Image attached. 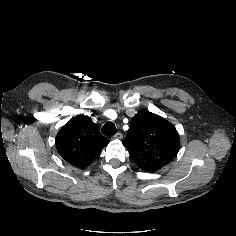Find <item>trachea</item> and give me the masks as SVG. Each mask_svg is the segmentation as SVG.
Returning a JSON list of instances; mask_svg holds the SVG:
<instances>
[{
    "label": "trachea",
    "mask_w": 236,
    "mask_h": 236,
    "mask_svg": "<svg viewBox=\"0 0 236 236\" xmlns=\"http://www.w3.org/2000/svg\"><path fill=\"white\" fill-rule=\"evenodd\" d=\"M101 131L105 136H113L116 134V126L113 122H106Z\"/></svg>",
    "instance_id": "1"
}]
</instances>
